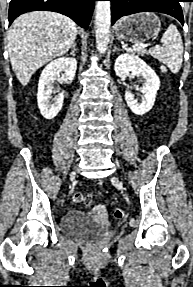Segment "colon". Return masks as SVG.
<instances>
[{
  "instance_id": "obj_1",
  "label": "colon",
  "mask_w": 193,
  "mask_h": 287,
  "mask_svg": "<svg viewBox=\"0 0 193 287\" xmlns=\"http://www.w3.org/2000/svg\"><path fill=\"white\" fill-rule=\"evenodd\" d=\"M73 201L77 204L90 205L93 201V198L89 194H84L82 192H76L73 195ZM114 217L118 220H122L125 217V212L121 208L114 210Z\"/></svg>"
}]
</instances>
